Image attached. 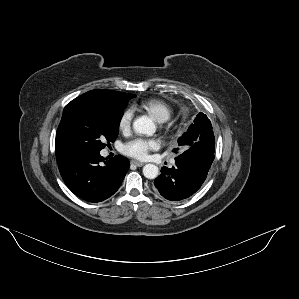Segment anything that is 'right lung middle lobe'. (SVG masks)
Segmentation results:
<instances>
[{"label":"right lung middle lobe","mask_w":299,"mask_h":299,"mask_svg":"<svg viewBox=\"0 0 299 299\" xmlns=\"http://www.w3.org/2000/svg\"><path fill=\"white\" fill-rule=\"evenodd\" d=\"M134 97L126 93L112 102L82 101L69 107L60 122L67 148L75 154L100 152L105 141L114 142L124 109Z\"/></svg>","instance_id":"1"}]
</instances>
